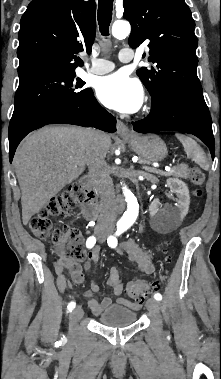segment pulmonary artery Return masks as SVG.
<instances>
[{
    "instance_id": "pulmonary-artery-1",
    "label": "pulmonary artery",
    "mask_w": 221,
    "mask_h": 379,
    "mask_svg": "<svg viewBox=\"0 0 221 379\" xmlns=\"http://www.w3.org/2000/svg\"><path fill=\"white\" fill-rule=\"evenodd\" d=\"M118 57L121 62L126 63L133 59L134 53L131 49L124 48L119 52ZM91 62L92 65L89 71L96 75L106 74L115 68V65L111 61L105 59L92 58Z\"/></svg>"
}]
</instances>
